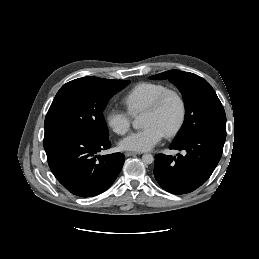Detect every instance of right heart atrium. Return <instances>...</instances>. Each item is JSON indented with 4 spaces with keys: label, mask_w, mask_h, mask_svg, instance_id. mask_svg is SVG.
I'll list each match as a JSON object with an SVG mask.
<instances>
[{
    "label": "right heart atrium",
    "mask_w": 259,
    "mask_h": 259,
    "mask_svg": "<svg viewBox=\"0 0 259 259\" xmlns=\"http://www.w3.org/2000/svg\"><path fill=\"white\" fill-rule=\"evenodd\" d=\"M105 119L108 126L118 135L126 134L131 126L132 114L129 111L118 108H110Z\"/></svg>",
    "instance_id": "1"
}]
</instances>
